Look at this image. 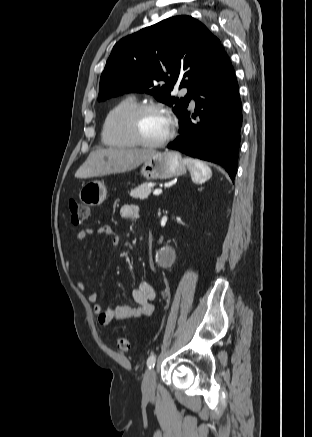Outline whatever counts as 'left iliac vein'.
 <instances>
[{
  "label": "left iliac vein",
  "mask_w": 312,
  "mask_h": 437,
  "mask_svg": "<svg viewBox=\"0 0 312 437\" xmlns=\"http://www.w3.org/2000/svg\"><path fill=\"white\" fill-rule=\"evenodd\" d=\"M156 390V372L154 369L149 370L142 383V392L147 397H152Z\"/></svg>",
  "instance_id": "obj_1"
}]
</instances>
